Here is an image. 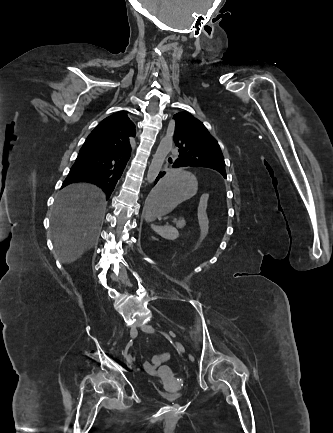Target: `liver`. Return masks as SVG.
I'll return each instance as SVG.
<instances>
[{
	"instance_id": "liver-1",
	"label": "liver",
	"mask_w": 333,
	"mask_h": 433,
	"mask_svg": "<svg viewBox=\"0 0 333 433\" xmlns=\"http://www.w3.org/2000/svg\"><path fill=\"white\" fill-rule=\"evenodd\" d=\"M106 206L104 192L89 183L71 184L57 195L51 229L62 263L75 262L98 242Z\"/></svg>"
}]
</instances>
